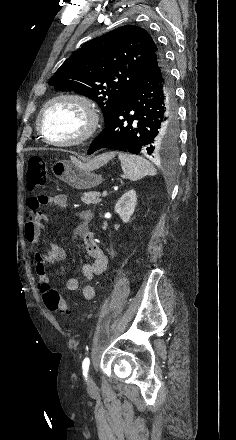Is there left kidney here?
<instances>
[{
  "instance_id": "5707ae66",
  "label": "left kidney",
  "mask_w": 236,
  "mask_h": 440,
  "mask_svg": "<svg viewBox=\"0 0 236 440\" xmlns=\"http://www.w3.org/2000/svg\"><path fill=\"white\" fill-rule=\"evenodd\" d=\"M137 205V195L134 189L124 193L115 205V212L120 216L124 223L130 221L131 216L135 211Z\"/></svg>"
}]
</instances>
